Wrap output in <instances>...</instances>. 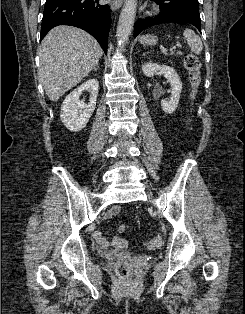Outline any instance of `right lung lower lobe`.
<instances>
[{"mask_svg": "<svg viewBox=\"0 0 245 314\" xmlns=\"http://www.w3.org/2000/svg\"><path fill=\"white\" fill-rule=\"evenodd\" d=\"M110 24L109 6L99 0H46L40 40L53 27L70 25L93 35L106 53Z\"/></svg>", "mask_w": 245, "mask_h": 314, "instance_id": "1", "label": "right lung lower lobe"}]
</instances>
